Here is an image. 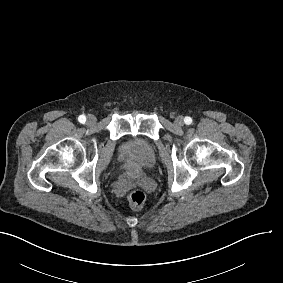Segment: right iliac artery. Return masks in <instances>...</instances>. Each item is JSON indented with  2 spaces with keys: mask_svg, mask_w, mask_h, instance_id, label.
I'll list each match as a JSON object with an SVG mask.
<instances>
[{
  "mask_svg": "<svg viewBox=\"0 0 283 283\" xmlns=\"http://www.w3.org/2000/svg\"><path fill=\"white\" fill-rule=\"evenodd\" d=\"M78 121H79L80 123H84V122L86 121L85 115H80V116L78 117Z\"/></svg>",
  "mask_w": 283,
  "mask_h": 283,
  "instance_id": "obj_1",
  "label": "right iliac artery"
}]
</instances>
